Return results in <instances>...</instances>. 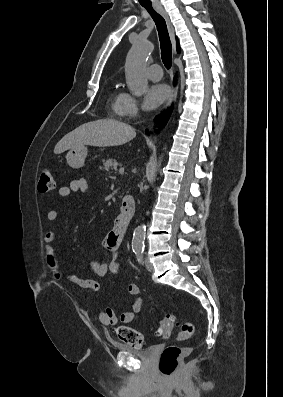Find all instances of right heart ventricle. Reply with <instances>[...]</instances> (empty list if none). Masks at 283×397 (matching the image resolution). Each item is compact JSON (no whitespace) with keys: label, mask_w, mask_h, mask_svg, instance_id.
<instances>
[{"label":"right heart ventricle","mask_w":283,"mask_h":397,"mask_svg":"<svg viewBox=\"0 0 283 397\" xmlns=\"http://www.w3.org/2000/svg\"><path fill=\"white\" fill-rule=\"evenodd\" d=\"M123 93L119 92L118 90H113L110 97V106L112 111L117 114V109L122 98ZM118 115V114H117Z\"/></svg>","instance_id":"e07e8e85"}]
</instances>
